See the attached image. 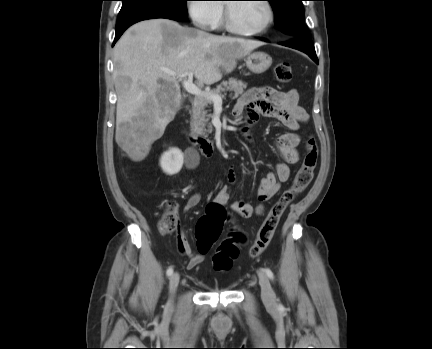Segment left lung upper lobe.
<instances>
[{
	"label": "left lung upper lobe",
	"mask_w": 432,
	"mask_h": 349,
	"mask_svg": "<svg viewBox=\"0 0 432 349\" xmlns=\"http://www.w3.org/2000/svg\"><path fill=\"white\" fill-rule=\"evenodd\" d=\"M275 12V26L290 37L311 38L304 23L303 0H268Z\"/></svg>",
	"instance_id": "5c2ea615"
}]
</instances>
